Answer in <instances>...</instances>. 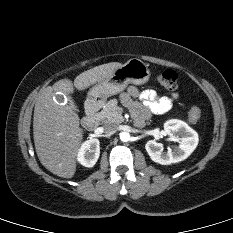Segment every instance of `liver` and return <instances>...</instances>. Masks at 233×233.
<instances>
[{
    "instance_id": "liver-1",
    "label": "liver",
    "mask_w": 233,
    "mask_h": 233,
    "mask_svg": "<svg viewBox=\"0 0 233 233\" xmlns=\"http://www.w3.org/2000/svg\"><path fill=\"white\" fill-rule=\"evenodd\" d=\"M121 63L111 62L96 66L79 74L72 83L69 79L43 87L36 98L33 118V136L41 164L53 174L72 178L83 130L80 119L71 105H61L53 100L54 91L72 93L75 87L84 90L110 77Z\"/></svg>"
}]
</instances>
